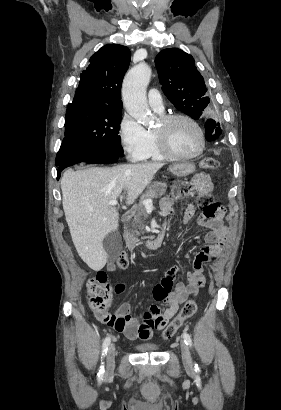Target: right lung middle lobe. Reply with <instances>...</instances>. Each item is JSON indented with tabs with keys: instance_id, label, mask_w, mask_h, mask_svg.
<instances>
[{
	"instance_id": "obj_1",
	"label": "right lung middle lobe",
	"mask_w": 281,
	"mask_h": 410,
	"mask_svg": "<svg viewBox=\"0 0 281 410\" xmlns=\"http://www.w3.org/2000/svg\"><path fill=\"white\" fill-rule=\"evenodd\" d=\"M121 116V109L88 105L68 106L65 137L56 156V166L76 156H121Z\"/></svg>"
}]
</instances>
